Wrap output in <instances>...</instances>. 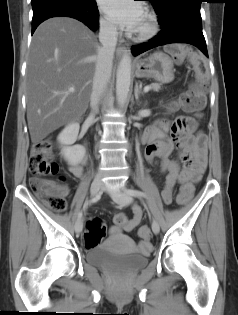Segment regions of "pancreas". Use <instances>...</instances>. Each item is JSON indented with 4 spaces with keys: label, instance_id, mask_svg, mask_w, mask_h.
I'll use <instances>...</instances> for the list:
<instances>
[{
    "label": "pancreas",
    "instance_id": "pancreas-1",
    "mask_svg": "<svg viewBox=\"0 0 238 315\" xmlns=\"http://www.w3.org/2000/svg\"><path fill=\"white\" fill-rule=\"evenodd\" d=\"M151 89H153L154 91H159L161 89V84L159 83H151Z\"/></svg>",
    "mask_w": 238,
    "mask_h": 315
}]
</instances>
